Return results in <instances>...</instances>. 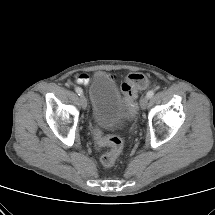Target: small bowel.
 <instances>
[{"label": "small bowel", "instance_id": "c3829d8e", "mask_svg": "<svg viewBox=\"0 0 215 215\" xmlns=\"http://www.w3.org/2000/svg\"><path fill=\"white\" fill-rule=\"evenodd\" d=\"M89 82V77L86 74H80L76 78V83L86 85Z\"/></svg>", "mask_w": 215, "mask_h": 215}]
</instances>
